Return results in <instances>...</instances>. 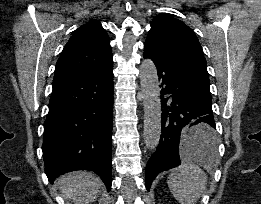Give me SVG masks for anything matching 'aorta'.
I'll return each mask as SVG.
<instances>
[{
    "label": "aorta",
    "instance_id": "762f6f07",
    "mask_svg": "<svg viewBox=\"0 0 261 204\" xmlns=\"http://www.w3.org/2000/svg\"><path fill=\"white\" fill-rule=\"evenodd\" d=\"M140 85L144 106V142L155 149L161 136V100L157 68L151 59L140 65Z\"/></svg>",
    "mask_w": 261,
    "mask_h": 204
}]
</instances>
